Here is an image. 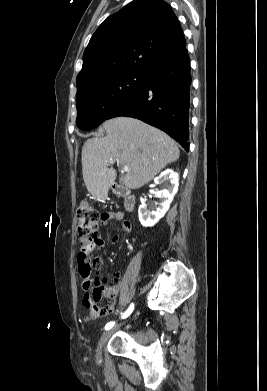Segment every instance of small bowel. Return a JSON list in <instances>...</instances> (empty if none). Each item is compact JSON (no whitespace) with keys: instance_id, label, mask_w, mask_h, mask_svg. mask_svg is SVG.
I'll return each instance as SVG.
<instances>
[{"instance_id":"small-bowel-1","label":"small bowel","mask_w":267,"mask_h":391,"mask_svg":"<svg viewBox=\"0 0 267 391\" xmlns=\"http://www.w3.org/2000/svg\"><path fill=\"white\" fill-rule=\"evenodd\" d=\"M102 222H120L122 232H130L131 224L123 220L122 216L117 213H104ZM114 237L113 241H115ZM78 270L82 278V287L84 290L83 305L88 310L90 317L95 318L106 312H109L118 296V284L121 280V273L115 272L112 277L106 278L99 274L102 261L99 258H91L90 253L78 254ZM107 297V303L101 307L99 305L102 297Z\"/></svg>"}]
</instances>
